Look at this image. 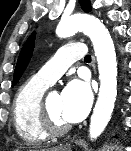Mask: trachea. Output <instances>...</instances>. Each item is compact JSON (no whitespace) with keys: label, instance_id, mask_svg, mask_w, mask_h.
<instances>
[{"label":"trachea","instance_id":"trachea-1","mask_svg":"<svg viewBox=\"0 0 131 151\" xmlns=\"http://www.w3.org/2000/svg\"><path fill=\"white\" fill-rule=\"evenodd\" d=\"M85 61H86V62H90V61H91V55H89V54L86 55V56H85Z\"/></svg>","mask_w":131,"mask_h":151}]
</instances>
